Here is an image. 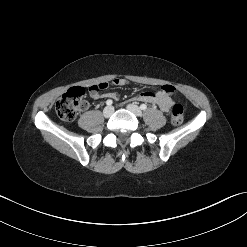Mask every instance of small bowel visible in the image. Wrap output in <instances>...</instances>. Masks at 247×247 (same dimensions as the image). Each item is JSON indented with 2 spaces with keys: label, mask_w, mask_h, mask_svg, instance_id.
Listing matches in <instances>:
<instances>
[{
  "label": "small bowel",
  "mask_w": 247,
  "mask_h": 247,
  "mask_svg": "<svg viewBox=\"0 0 247 247\" xmlns=\"http://www.w3.org/2000/svg\"><path fill=\"white\" fill-rule=\"evenodd\" d=\"M115 86H126L129 84V81L125 78H115L111 82ZM174 88L171 85H163L160 90L151 92H142L134 97L136 102H147L152 104H157L161 111L168 112L173 105V100L171 94L173 93ZM90 95L93 99H99L102 97L117 98L118 94L116 92L102 93L100 90H95L90 87Z\"/></svg>",
  "instance_id": "obj_1"
}]
</instances>
